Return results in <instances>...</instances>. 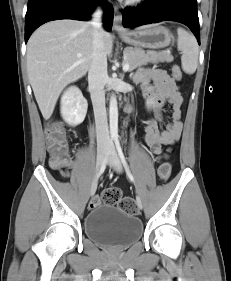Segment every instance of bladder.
Returning a JSON list of instances; mask_svg holds the SVG:
<instances>
[{
  "label": "bladder",
  "instance_id": "bladder-1",
  "mask_svg": "<svg viewBox=\"0 0 231 281\" xmlns=\"http://www.w3.org/2000/svg\"><path fill=\"white\" fill-rule=\"evenodd\" d=\"M84 232L92 241L115 250L129 247L143 233L142 222L111 205H98L84 219Z\"/></svg>",
  "mask_w": 231,
  "mask_h": 281
}]
</instances>
